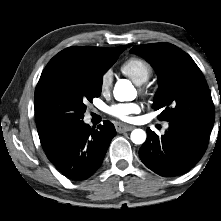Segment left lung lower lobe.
Masks as SVG:
<instances>
[{
  "label": "left lung lower lobe",
  "mask_w": 221,
  "mask_h": 221,
  "mask_svg": "<svg viewBox=\"0 0 221 221\" xmlns=\"http://www.w3.org/2000/svg\"><path fill=\"white\" fill-rule=\"evenodd\" d=\"M209 134L188 123H169L159 137L147 130V139L139 150L142 162L160 176H178L190 170L203 156Z\"/></svg>",
  "instance_id": "1"
}]
</instances>
